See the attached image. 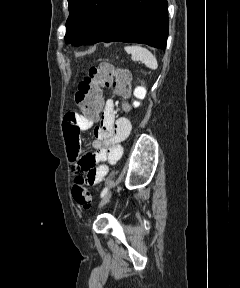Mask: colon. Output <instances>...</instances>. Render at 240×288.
I'll list each match as a JSON object with an SVG mask.
<instances>
[{"instance_id":"5ec220e1","label":"colon","mask_w":240,"mask_h":288,"mask_svg":"<svg viewBox=\"0 0 240 288\" xmlns=\"http://www.w3.org/2000/svg\"><path fill=\"white\" fill-rule=\"evenodd\" d=\"M113 86L116 94L127 96L129 93V75L124 70L114 69L111 65L103 64L92 67L89 74L79 83L75 94V102L88 119H97L103 104L101 87ZM75 202L84 209L92 205L91 194L86 181L77 177L72 187Z\"/></svg>"}]
</instances>
